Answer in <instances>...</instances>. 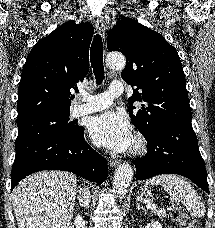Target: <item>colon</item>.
I'll use <instances>...</instances> for the list:
<instances>
[{
	"instance_id": "colon-1",
	"label": "colon",
	"mask_w": 215,
	"mask_h": 228,
	"mask_svg": "<svg viewBox=\"0 0 215 228\" xmlns=\"http://www.w3.org/2000/svg\"><path fill=\"white\" fill-rule=\"evenodd\" d=\"M170 214L174 223L180 228H199V225L191 216L179 209L172 208Z\"/></svg>"
}]
</instances>
